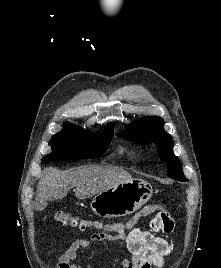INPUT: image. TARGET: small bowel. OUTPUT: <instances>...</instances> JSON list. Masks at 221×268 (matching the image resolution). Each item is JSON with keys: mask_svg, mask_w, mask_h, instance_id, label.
<instances>
[{"mask_svg": "<svg viewBox=\"0 0 221 268\" xmlns=\"http://www.w3.org/2000/svg\"><path fill=\"white\" fill-rule=\"evenodd\" d=\"M174 225V219L168 213L158 214L150 220L149 230L105 229L89 238H78L58 256L57 268H82L78 262L79 253L98 241L115 242L126 250L128 257L121 260L122 268H163L164 259L172 253L173 245L155 233H171ZM86 268H90V265H86Z\"/></svg>", "mask_w": 221, "mask_h": 268, "instance_id": "1", "label": "small bowel"}]
</instances>
